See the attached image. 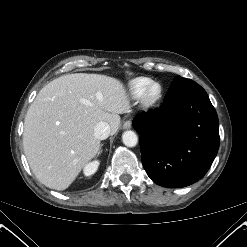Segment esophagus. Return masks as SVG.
I'll use <instances>...</instances> for the list:
<instances>
[{"label": "esophagus", "instance_id": "esophagus-1", "mask_svg": "<svg viewBox=\"0 0 247 247\" xmlns=\"http://www.w3.org/2000/svg\"><path fill=\"white\" fill-rule=\"evenodd\" d=\"M131 126H132L131 120L124 121V123H123V129H130Z\"/></svg>", "mask_w": 247, "mask_h": 247}]
</instances>
